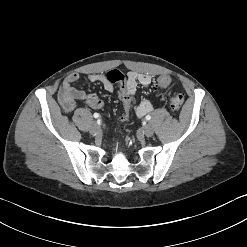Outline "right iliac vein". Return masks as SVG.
<instances>
[{"mask_svg": "<svg viewBox=\"0 0 247 247\" xmlns=\"http://www.w3.org/2000/svg\"><path fill=\"white\" fill-rule=\"evenodd\" d=\"M100 130L99 125L96 122H93L90 128V131L94 134L98 133Z\"/></svg>", "mask_w": 247, "mask_h": 247, "instance_id": "right-iliac-vein-1", "label": "right iliac vein"}]
</instances>
